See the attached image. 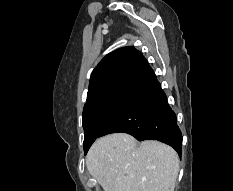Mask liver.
<instances>
[{"mask_svg": "<svg viewBox=\"0 0 233 191\" xmlns=\"http://www.w3.org/2000/svg\"><path fill=\"white\" fill-rule=\"evenodd\" d=\"M86 167L104 191H174L179 157L161 142L138 146L133 136L114 133L93 143Z\"/></svg>", "mask_w": 233, "mask_h": 191, "instance_id": "liver-1", "label": "liver"}]
</instances>
